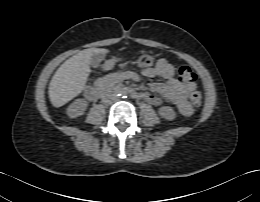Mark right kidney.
Instances as JSON below:
<instances>
[{"mask_svg": "<svg viewBox=\"0 0 260 202\" xmlns=\"http://www.w3.org/2000/svg\"><path fill=\"white\" fill-rule=\"evenodd\" d=\"M88 103L85 99H77L67 108V114L70 118H76L84 114Z\"/></svg>", "mask_w": 260, "mask_h": 202, "instance_id": "ca27d5eb", "label": "right kidney"}]
</instances>
